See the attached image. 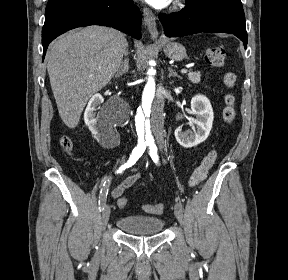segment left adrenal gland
Instances as JSON below:
<instances>
[{"label":"left adrenal gland","mask_w":288,"mask_h":280,"mask_svg":"<svg viewBox=\"0 0 288 280\" xmlns=\"http://www.w3.org/2000/svg\"><path fill=\"white\" fill-rule=\"evenodd\" d=\"M168 70H169V75H168V77H178L179 79H182V77H180V76L172 69V67H169Z\"/></svg>","instance_id":"1"}]
</instances>
